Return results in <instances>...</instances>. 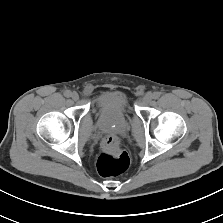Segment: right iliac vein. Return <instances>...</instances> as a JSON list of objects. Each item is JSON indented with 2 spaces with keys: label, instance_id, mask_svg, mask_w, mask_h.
Returning a JSON list of instances; mask_svg holds the SVG:
<instances>
[{
  "label": "right iliac vein",
  "instance_id": "right-iliac-vein-1",
  "mask_svg": "<svg viewBox=\"0 0 223 223\" xmlns=\"http://www.w3.org/2000/svg\"><path fill=\"white\" fill-rule=\"evenodd\" d=\"M71 98L74 100V101H77L79 99V95L77 92H72L71 93Z\"/></svg>",
  "mask_w": 223,
  "mask_h": 223
}]
</instances>
